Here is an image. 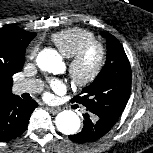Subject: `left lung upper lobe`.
<instances>
[{
	"instance_id": "1",
	"label": "left lung upper lobe",
	"mask_w": 153,
	"mask_h": 153,
	"mask_svg": "<svg viewBox=\"0 0 153 153\" xmlns=\"http://www.w3.org/2000/svg\"><path fill=\"white\" fill-rule=\"evenodd\" d=\"M101 34L107 40L106 63L94 82L83 89L84 95L73 101L81 103L88 112L112 127L129 99L131 69L121 43L109 33Z\"/></svg>"
}]
</instances>
